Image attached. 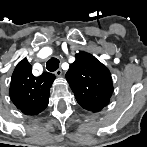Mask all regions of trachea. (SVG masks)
I'll return each instance as SVG.
<instances>
[{"instance_id":"trachea-1","label":"trachea","mask_w":147,"mask_h":147,"mask_svg":"<svg viewBox=\"0 0 147 147\" xmlns=\"http://www.w3.org/2000/svg\"><path fill=\"white\" fill-rule=\"evenodd\" d=\"M59 60L57 58H51L46 63V68L50 72H54L59 68Z\"/></svg>"}]
</instances>
